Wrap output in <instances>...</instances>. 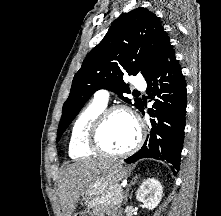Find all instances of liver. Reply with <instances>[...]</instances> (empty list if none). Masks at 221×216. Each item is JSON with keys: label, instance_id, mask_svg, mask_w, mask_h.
<instances>
[{"label": "liver", "instance_id": "obj_1", "mask_svg": "<svg viewBox=\"0 0 221 216\" xmlns=\"http://www.w3.org/2000/svg\"><path fill=\"white\" fill-rule=\"evenodd\" d=\"M113 163L110 159H81L63 170L58 195L64 216H71L87 186Z\"/></svg>", "mask_w": 221, "mask_h": 216}]
</instances>
